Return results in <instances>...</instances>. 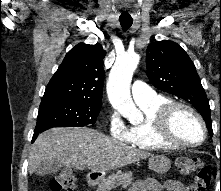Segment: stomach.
I'll return each instance as SVG.
<instances>
[{
    "label": "stomach",
    "instance_id": "1",
    "mask_svg": "<svg viewBox=\"0 0 221 191\" xmlns=\"http://www.w3.org/2000/svg\"><path fill=\"white\" fill-rule=\"evenodd\" d=\"M148 166L151 170H153L156 173L164 174L166 173L170 167H171V161L169 158L157 155V156H151L148 161ZM95 176L98 178V180H104L105 173L103 172H94Z\"/></svg>",
    "mask_w": 221,
    "mask_h": 191
}]
</instances>
